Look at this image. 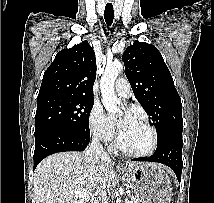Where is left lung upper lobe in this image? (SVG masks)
Returning a JSON list of instances; mask_svg holds the SVG:
<instances>
[{"instance_id": "left-lung-upper-lobe-1", "label": "left lung upper lobe", "mask_w": 214, "mask_h": 203, "mask_svg": "<svg viewBox=\"0 0 214 203\" xmlns=\"http://www.w3.org/2000/svg\"><path fill=\"white\" fill-rule=\"evenodd\" d=\"M122 59L133 93L156 127L158 142L182 131L181 99L159 50L136 40Z\"/></svg>"}]
</instances>
